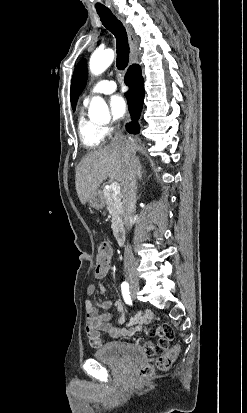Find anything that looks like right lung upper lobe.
I'll return each mask as SVG.
<instances>
[{"instance_id": "obj_1", "label": "right lung upper lobe", "mask_w": 247, "mask_h": 413, "mask_svg": "<svg viewBox=\"0 0 247 413\" xmlns=\"http://www.w3.org/2000/svg\"><path fill=\"white\" fill-rule=\"evenodd\" d=\"M139 70H140V67L138 65H133V66L129 67L126 74H130V73H133V72H136V71H139Z\"/></svg>"}]
</instances>
